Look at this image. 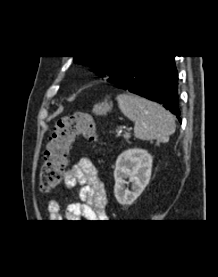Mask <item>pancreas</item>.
<instances>
[{
  "label": "pancreas",
  "instance_id": "1",
  "mask_svg": "<svg viewBox=\"0 0 218 277\" xmlns=\"http://www.w3.org/2000/svg\"><path fill=\"white\" fill-rule=\"evenodd\" d=\"M123 136H124V138L127 139V138L129 137V134H128V133H125Z\"/></svg>",
  "mask_w": 218,
  "mask_h": 277
}]
</instances>
